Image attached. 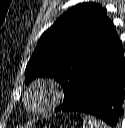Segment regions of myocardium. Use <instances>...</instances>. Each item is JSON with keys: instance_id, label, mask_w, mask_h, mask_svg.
<instances>
[{"instance_id": "1", "label": "myocardium", "mask_w": 125, "mask_h": 128, "mask_svg": "<svg viewBox=\"0 0 125 128\" xmlns=\"http://www.w3.org/2000/svg\"><path fill=\"white\" fill-rule=\"evenodd\" d=\"M63 98L61 85L53 79L33 81L24 95L26 110L34 115L45 114L55 109ZM36 99H39L37 102Z\"/></svg>"}]
</instances>
